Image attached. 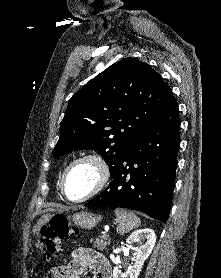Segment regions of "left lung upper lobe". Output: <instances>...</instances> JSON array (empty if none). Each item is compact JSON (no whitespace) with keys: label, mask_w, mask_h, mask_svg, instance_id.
Listing matches in <instances>:
<instances>
[{"label":"left lung upper lobe","mask_w":221,"mask_h":278,"mask_svg":"<svg viewBox=\"0 0 221 278\" xmlns=\"http://www.w3.org/2000/svg\"><path fill=\"white\" fill-rule=\"evenodd\" d=\"M174 103L171 89L147 63L118 61L70 99L53 155L93 149L111 173L125 149Z\"/></svg>","instance_id":"1"}]
</instances>
